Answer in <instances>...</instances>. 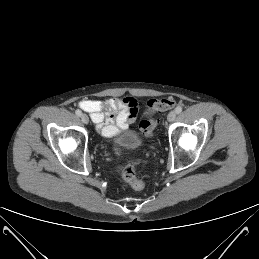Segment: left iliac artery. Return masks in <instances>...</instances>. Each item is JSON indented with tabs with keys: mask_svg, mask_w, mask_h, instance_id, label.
Here are the masks:
<instances>
[{
	"mask_svg": "<svg viewBox=\"0 0 259 259\" xmlns=\"http://www.w3.org/2000/svg\"><path fill=\"white\" fill-rule=\"evenodd\" d=\"M175 112H176L177 114L181 113V112H182V107H181V106H177V107L175 108Z\"/></svg>",
	"mask_w": 259,
	"mask_h": 259,
	"instance_id": "left-iliac-artery-1",
	"label": "left iliac artery"
}]
</instances>
